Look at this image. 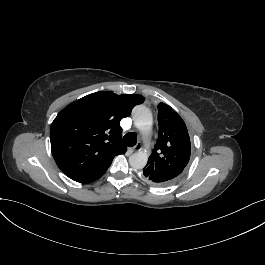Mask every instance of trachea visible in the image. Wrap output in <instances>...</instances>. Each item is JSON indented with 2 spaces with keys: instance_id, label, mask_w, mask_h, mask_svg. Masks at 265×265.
Instances as JSON below:
<instances>
[{
  "instance_id": "trachea-1",
  "label": "trachea",
  "mask_w": 265,
  "mask_h": 265,
  "mask_svg": "<svg viewBox=\"0 0 265 265\" xmlns=\"http://www.w3.org/2000/svg\"><path fill=\"white\" fill-rule=\"evenodd\" d=\"M137 143V135L133 132L127 133L124 136V144L127 146H134Z\"/></svg>"
}]
</instances>
